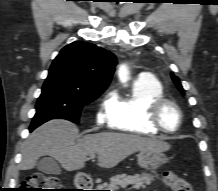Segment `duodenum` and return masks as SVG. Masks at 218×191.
<instances>
[{"label":"duodenum","instance_id":"1","mask_svg":"<svg viewBox=\"0 0 218 191\" xmlns=\"http://www.w3.org/2000/svg\"><path fill=\"white\" fill-rule=\"evenodd\" d=\"M75 183H76L77 188L80 191H88L92 187V183H91L89 177L85 174L77 175V177L75 179Z\"/></svg>","mask_w":218,"mask_h":191}]
</instances>
